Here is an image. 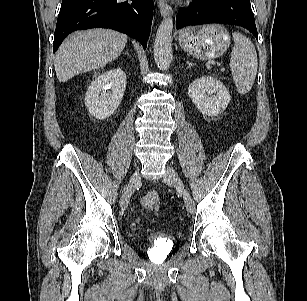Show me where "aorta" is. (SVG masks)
<instances>
[{"label": "aorta", "instance_id": "aorta-1", "mask_svg": "<svg viewBox=\"0 0 307 301\" xmlns=\"http://www.w3.org/2000/svg\"><path fill=\"white\" fill-rule=\"evenodd\" d=\"M172 17L165 18L158 27L154 42V59L157 67L164 71L172 60Z\"/></svg>", "mask_w": 307, "mask_h": 301}]
</instances>
